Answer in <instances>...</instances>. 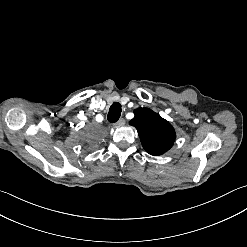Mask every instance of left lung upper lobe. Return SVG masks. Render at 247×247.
Returning <instances> with one entry per match:
<instances>
[{"label": "left lung upper lobe", "instance_id": "left-lung-upper-lobe-1", "mask_svg": "<svg viewBox=\"0 0 247 247\" xmlns=\"http://www.w3.org/2000/svg\"><path fill=\"white\" fill-rule=\"evenodd\" d=\"M130 125L136 127L143 148L151 155H162L175 140L171 124L149 108H138Z\"/></svg>", "mask_w": 247, "mask_h": 247}]
</instances>
